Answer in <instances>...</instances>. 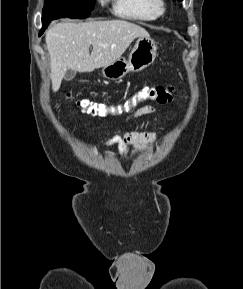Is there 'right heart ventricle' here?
I'll list each match as a JSON object with an SVG mask.
<instances>
[{
  "mask_svg": "<svg viewBox=\"0 0 243 289\" xmlns=\"http://www.w3.org/2000/svg\"><path fill=\"white\" fill-rule=\"evenodd\" d=\"M113 13L136 21H153L159 17L153 0H111Z\"/></svg>",
  "mask_w": 243,
  "mask_h": 289,
  "instance_id": "e07e8e85",
  "label": "right heart ventricle"
}]
</instances>
